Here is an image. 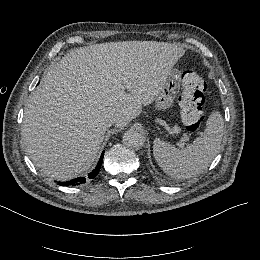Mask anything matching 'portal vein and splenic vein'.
<instances>
[{
    "label": "portal vein and splenic vein",
    "mask_w": 260,
    "mask_h": 260,
    "mask_svg": "<svg viewBox=\"0 0 260 260\" xmlns=\"http://www.w3.org/2000/svg\"><path fill=\"white\" fill-rule=\"evenodd\" d=\"M181 129L178 128V127H174L172 130H171V133H180ZM189 140V137L187 134H183V137L180 139V142H179V146L182 148L184 147L185 145V142H187Z\"/></svg>",
    "instance_id": "portal-vein-and-splenic-vein-1"
}]
</instances>
